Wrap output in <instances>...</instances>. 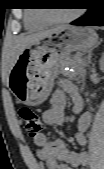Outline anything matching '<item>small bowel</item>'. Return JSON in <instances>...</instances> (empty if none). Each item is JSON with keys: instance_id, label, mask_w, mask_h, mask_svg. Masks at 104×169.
Here are the masks:
<instances>
[{"instance_id": "c3829d8e", "label": "small bowel", "mask_w": 104, "mask_h": 169, "mask_svg": "<svg viewBox=\"0 0 104 169\" xmlns=\"http://www.w3.org/2000/svg\"><path fill=\"white\" fill-rule=\"evenodd\" d=\"M67 96L73 101V109L80 112L83 108V99L78 88L71 82L63 84L62 88L56 89L50 98V106L43 112V121L46 125L60 126L65 122V108ZM91 123V115L83 113L78 120V131L74 140L79 145L86 144V130ZM37 146V156L43 160L46 169H73L85 165L88 161L86 152L70 150L61 139L49 140L45 134L34 138Z\"/></svg>"}]
</instances>
